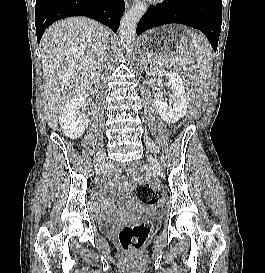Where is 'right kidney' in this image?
Segmentation results:
<instances>
[{"mask_svg": "<svg viewBox=\"0 0 265 273\" xmlns=\"http://www.w3.org/2000/svg\"><path fill=\"white\" fill-rule=\"evenodd\" d=\"M86 100L87 93L80 91L65 105L59 117L63 133L72 140L81 137L88 126V116H85L80 111Z\"/></svg>", "mask_w": 265, "mask_h": 273, "instance_id": "1", "label": "right kidney"}]
</instances>
